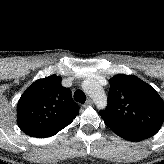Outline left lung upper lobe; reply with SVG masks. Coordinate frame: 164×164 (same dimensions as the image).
Segmentation results:
<instances>
[{
  "mask_svg": "<svg viewBox=\"0 0 164 164\" xmlns=\"http://www.w3.org/2000/svg\"><path fill=\"white\" fill-rule=\"evenodd\" d=\"M108 107L100 115L113 123L155 135L164 122V102L157 91L133 75L110 79Z\"/></svg>",
  "mask_w": 164,
  "mask_h": 164,
  "instance_id": "5c2ea615",
  "label": "left lung upper lobe"
}]
</instances>
